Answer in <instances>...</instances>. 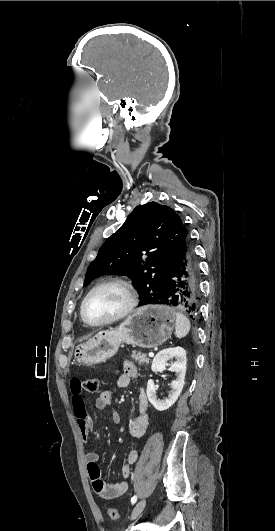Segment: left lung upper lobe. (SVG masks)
Instances as JSON below:
<instances>
[{
	"label": "left lung upper lobe",
	"instance_id": "obj_1",
	"mask_svg": "<svg viewBox=\"0 0 275 531\" xmlns=\"http://www.w3.org/2000/svg\"><path fill=\"white\" fill-rule=\"evenodd\" d=\"M188 235L181 218L168 206H137L101 246L90 264L84 286L101 275H126L139 294V306L162 297L174 258Z\"/></svg>",
	"mask_w": 275,
	"mask_h": 531
}]
</instances>
